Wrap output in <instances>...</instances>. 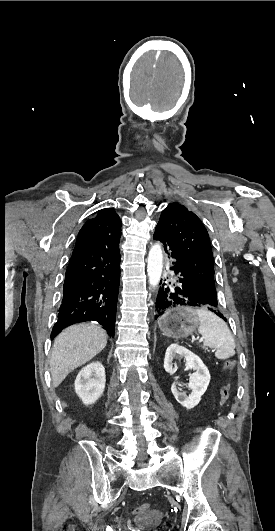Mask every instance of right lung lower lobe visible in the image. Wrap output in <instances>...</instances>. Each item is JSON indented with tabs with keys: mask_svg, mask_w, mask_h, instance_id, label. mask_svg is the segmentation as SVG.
I'll use <instances>...</instances> for the list:
<instances>
[{
	"mask_svg": "<svg viewBox=\"0 0 275 531\" xmlns=\"http://www.w3.org/2000/svg\"><path fill=\"white\" fill-rule=\"evenodd\" d=\"M120 237L102 236L75 246L51 338L79 322L97 321L114 336L120 277Z\"/></svg>",
	"mask_w": 275,
	"mask_h": 531,
	"instance_id": "obj_1",
	"label": "right lung lower lobe"
}]
</instances>
